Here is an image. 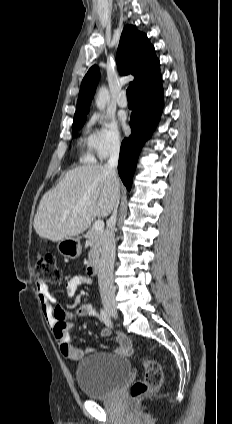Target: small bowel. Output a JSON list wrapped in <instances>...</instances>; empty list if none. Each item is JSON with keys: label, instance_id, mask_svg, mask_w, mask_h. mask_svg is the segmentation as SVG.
Instances as JSON below:
<instances>
[{"label": "small bowel", "instance_id": "1", "mask_svg": "<svg viewBox=\"0 0 232 424\" xmlns=\"http://www.w3.org/2000/svg\"><path fill=\"white\" fill-rule=\"evenodd\" d=\"M91 280L82 275H75L65 283V293L73 297L81 285L90 284ZM38 300L41 305L43 316L49 325L52 335L59 346L61 354L69 360H79L86 354L92 352L93 348H81L75 346L70 337V329L74 326V321L86 316H96V311L90 303L77 305L73 310H67L60 306H54V297L49 288L44 283H36ZM111 334L109 328L101 330L102 337H108ZM117 346L114 352L117 354L128 355L132 352L131 342L126 335L118 333L116 336Z\"/></svg>", "mask_w": 232, "mask_h": 424}]
</instances>
